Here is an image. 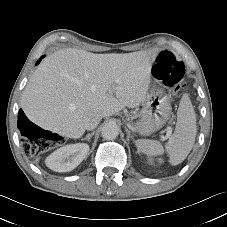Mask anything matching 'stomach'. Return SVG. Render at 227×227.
Segmentation results:
<instances>
[{
    "instance_id": "0dacf381",
    "label": "stomach",
    "mask_w": 227,
    "mask_h": 227,
    "mask_svg": "<svg viewBox=\"0 0 227 227\" xmlns=\"http://www.w3.org/2000/svg\"><path fill=\"white\" fill-rule=\"evenodd\" d=\"M171 103L169 97L158 85H153L143 101V108L134 129L142 136L158 131L170 118Z\"/></svg>"
}]
</instances>
